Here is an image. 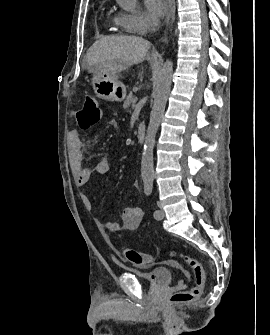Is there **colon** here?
<instances>
[{
	"mask_svg": "<svg viewBox=\"0 0 270 335\" xmlns=\"http://www.w3.org/2000/svg\"><path fill=\"white\" fill-rule=\"evenodd\" d=\"M76 116L83 131L99 123L102 116V108L98 100L93 96H86L81 110L76 111ZM120 253L131 264L139 267L147 266L151 261L150 254H141L129 248H123ZM182 258L188 268L191 269L193 277V286L187 291L178 292L170 297L172 304H183L199 298L205 285V274L201 263L192 255L183 253Z\"/></svg>",
	"mask_w": 270,
	"mask_h": 335,
	"instance_id": "1",
	"label": "colon"
}]
</instances>
